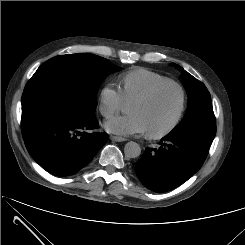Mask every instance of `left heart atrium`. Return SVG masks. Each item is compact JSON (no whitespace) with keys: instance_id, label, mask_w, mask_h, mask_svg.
Wrapping results in <instances>:
<instances>
[{"instance_id":"left-heart-atrium-1","label":"left heart atrium","mask_w":245,"mask_h":245,"mask_svg":"<svg viewBox=\"0 0 245 245\" xmlns=\"http://www.w3.org/2000/svg\"><path fill=\"white\" fill-rule=\"evenodd\" d=\"M105 128L111 133L120 135H134L146 132V126L142 118L135 113L110 118L105 122Z\"/></svg>"}]
</instances>
